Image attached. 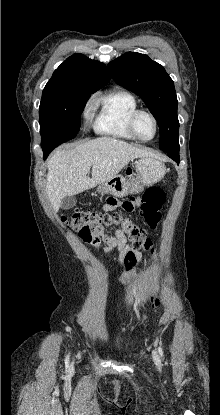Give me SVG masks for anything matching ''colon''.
<instances>
[{
	"mask_svg": "<svg viewBox=\"0 0 220 415\" xmlns=\"http://www.w3.org/2000/svg\"><path fill=\"white\" fill-rule=\"evenodd\" d=\"M164 203V195L160 188L149 187L144 195L141 205V214L147 227L154 229L161 218V207ZM130 201L121 202L120 207L124 210L130 208ZM62 222L71 229L79 230L84 234L90 231L100 230L104 227L118 226L127 235L132 246L136 250L152 253L154 248L146 230L131 218L123 216L119 212H102L96 210H77L69 216H63ZM136 261L134 251L125 255V264L128 268Z\"/></svg>",
	"mask_w": 220,
	"mask_h": 415,
	"instance_id": "1",
	"label": "colon"
}]
</instances>
